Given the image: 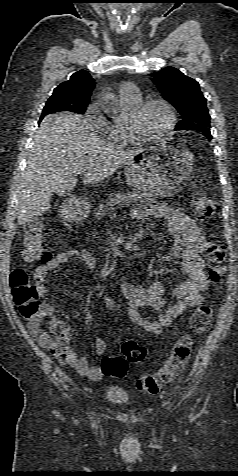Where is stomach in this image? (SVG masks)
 Instances as JSON below:
<instances>
[{"instance_id": "1", "label": "stomach", "mask_w": 238, "mask_h": 476, "mask_svg": "<svg viewBox=\"0 0 238 476\" xmlns=\"http://www.w3.org/2000/svg\"><path fill=\"white\" fill-rule=\"evenodd\" d=\"M135 160L125 165L126 181L145 197H169L177 193L193 167L192 152L174 138L135 153ZM71 220L83 219L90 210L84 199H72Z\"/></svg>"}]
</instances>
